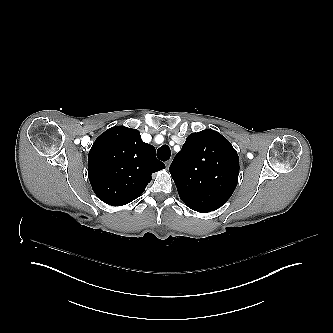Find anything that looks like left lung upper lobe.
<instances>
[{
  "label": "left lung upper lobe",
  "mask_w": 333,
  "mask_h": 333,
  "mask_svg": "<svg viewBox=\"0 0 333 333\" xmlns=\"http://www.w3.org/2000/svg\"><path fill=\"white\" fill-rule=\"evenodd\" d=\"M169 169L181 200L205 213L221 207L233 194L239 157L223 135L203 130L187 137Z\"/></svg>",
  "instance_id": "obj_1"
}]
</instances>
